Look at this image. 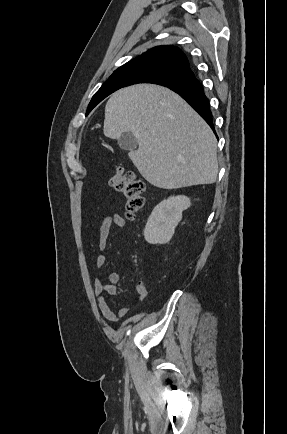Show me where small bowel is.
<instances>
[{
	"mask_svg": "<svg viewBox=\"0 0 287 434\" xmlns=\"http://www.w3.org/2000/svg\"><path fill=\"white\" fill-rule=\"evenodd\" d=\"M113 227L125 228L126 220L120 214H108L101 220L99 227V239L98 248L100 251H104L107 246V241L110 236ZM107 261V255L101 253L96 258V265L98 268H102ZM121 281V275L118 272L111 271L107 274V282H104L99 276L94 279V293L98 302L99 309L104 319L110 323L117 322L120 318L125 317L129 313L128 307H119L116 311H113L109 306L105 294L114 296L117 293L116 284ZM147 296V288L142 281H137L135 285V293L133 300L135 303L143 301Z\"/></svg>",
	"mask_w": 287,
	"mask_h": 434,
	"instance_id": "1",
	"label": "small bowel"
}]
</instances>
